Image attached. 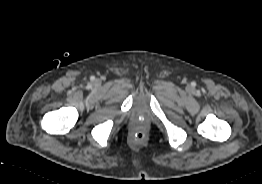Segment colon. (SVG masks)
Segmentation results:
<instances>
[{
    "label": "colon",
    "instance_id": "1",
    "mask_svg": "<svg viewBox=\"0 0 262 184\" xmlns=\"http://www.w3.org/2000/svg\"><path fill=\"white\" fill-rule=\"evenodd\" d=\"M132 137H133V140H134L135 142H138V143H139V142H143V141L145 140L146 134H145V132H144L143 130H141V129H136V130L134 131Z\"/></svg>",
    "mask_w": 262,
    "mask_h": 184
}]
</instances>
